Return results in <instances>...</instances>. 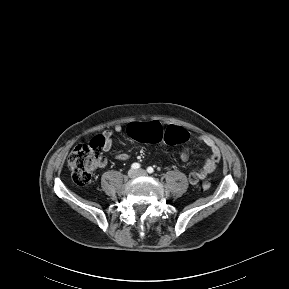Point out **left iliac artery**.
<instances>
[{
    "label": "left iliac artery",
    "mask_w": 289,
    "mask_h": 289,
    "mask_svg": "<svg viewBox=\"0 0 289 289\" xmlns=\"http://www.w3.org/2000/svg\"><path fill=\"white\" fill-rule=\"evenodd\" d=\"M147 172L151 174L154 172V169L150 166L147 168Z\"/></svg>",
    "instance_id": "1"
}]
</instances>
